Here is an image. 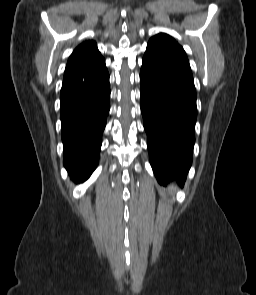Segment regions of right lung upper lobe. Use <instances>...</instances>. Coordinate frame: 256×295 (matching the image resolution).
I'll return each mask as SVG.
<instances>
[{
  "instance_id": "right-lung-upper-lobe-1",
  "label": "right lung upper lobe",
  "mask_w": 256,
  "mask_h": 295,
  "mask_svg": "<svg viewBox=\"0 0 256 295\" xmlns=\"http://www.w3.org/2000/svg\"><path fill=\"white\" fill-rule=\"evenodd\" d=\"M101 57L102 56L98 51L97 45L94 41L83 42L73 51L69 57L66 69Z\"/></svg>"
}]
</instances>
